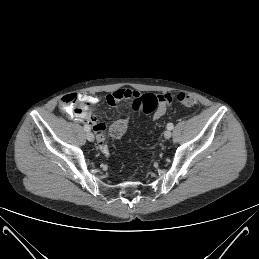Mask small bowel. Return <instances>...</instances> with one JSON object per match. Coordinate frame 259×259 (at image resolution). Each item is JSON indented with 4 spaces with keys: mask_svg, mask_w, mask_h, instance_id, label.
I'll return each mask as SVG.
<instances>
[{
    "mask_svg": "<svg viewBox=\"0 0 259 259\" xmlns=\"http://www.w3.org/2000/svg\"><path fill=\"white\" fill-rule=\"evenodd\" d=\"M139 95V92L136 90L121 88L109 93L106 96V102L111 106H115L123 100L132 101ZM158 99V107L154 113L155 119L161 118L166 113L168 104L171 101V95L161 94L158 96ZM98 101L96 96L89 93H81L79 95L68 94L61 99V108L71 114L74 118L89 123L96 133L101 151L107 153L108 147L105 144L106 125L102 122H98L94 116L87 112L88 109L97 104ZM78 103H80V107L75 108Z\"/></svg>",
    "mask_w": 259,
    "mask_h": 259,
    "instance_id": "1",
    "label": "small bowel"
}]
</instances>
